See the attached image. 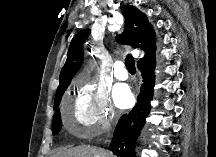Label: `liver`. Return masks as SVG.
Here are the masks:
<instances>
[{"label": "liver", "instance_id": "obj_1", "mask_svg": "<svg viewBox=\"0 0 216 157\" xmlns=\"http://www.w3.org/2000/svg\"><path fill=\"white\" fill-rule=\"evenodd\" d=\"M54 157H113V154L108 150L86 146L65 149L55 154Z\"/></svg>", "mask_w": 216, "mask_h": 157}]
</instances>
